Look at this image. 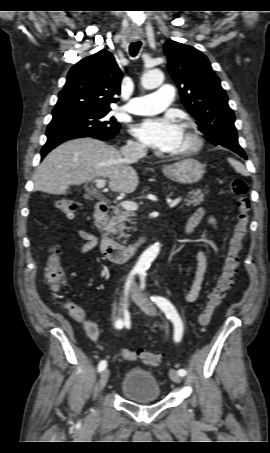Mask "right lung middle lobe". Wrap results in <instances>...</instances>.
Wrapping results in <instances>:
<instances>
[{
	"label": "right lung middle lobe",
	"instance_id": "dd1d6c3e",
	"mask_svg": "<svg viewBox=\"0 0 270 453\" xmlns=\"http://www.w3.org/2000/svg\"><path fill=\"white\" fill-rule=\"evenodd\" d=\"M109 111H86L54 117L48 125L47 131L75 130L114 135L118 133L120 125L114 117L108 115Z\"/></svg>",
	"mask_w": 270,
	"mask_h": 453
}]
</instances>
